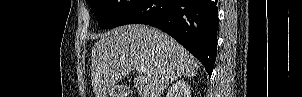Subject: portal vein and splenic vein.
Masks as SVG:
<instances>
[{"instance_id":"1","label":"portal vein and splenic vein","mask_w":302,"mask_h":97,"mask_svg":"<svg viewBox=\"0 0 302 97\" xmlns=\"http://www.w3.org/2000/svg\"><path fill=\"white\" fill-rule=\"evenodd\" d=\"M136 71H138L139 73H147L149 70L144 66H137Z\"/></svg>"}]
</instances>
